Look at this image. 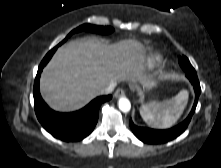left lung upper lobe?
<instances>
[{"instance_id": "obj_1", "label": "left lung upper lobe", "mask_w": 221, "mask_h": 168, "mask_svg": "<svg viewBox=\"0 0 221 168\" xmlns=\"http://www.w3.org/2000/svg\"><path fill=\"white\" fill-rule=\"evenodd\" d=\"M179 64L181 68L186 72V75L196 74L195 69L192 67L189 60L185 56L179 57Z\"/></svg>"}]
</instances>
